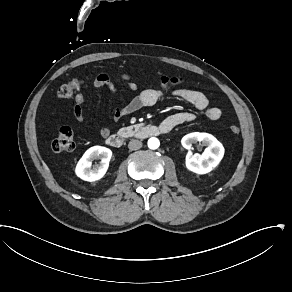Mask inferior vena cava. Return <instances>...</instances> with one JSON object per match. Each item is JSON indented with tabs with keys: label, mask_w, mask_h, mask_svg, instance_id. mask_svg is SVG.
<instances>
[{
	"label": "inferior vena cava",
	"mask_w": 292,
	"mask_h": 292,
	"mask_svg": "<svg viewBox=\"0 0 292 292\" xmlns=\"http://www.w3.org/2000/svg\"><path fill=\"white\" fill-rule=\"evenodd\" d=\"M142 147V142L139 141V140H131L129 143H128V148L130 150H138Z\"/></svg>",
	"instance_id": "inferior-vena-cava-1"
}]
</instances>
